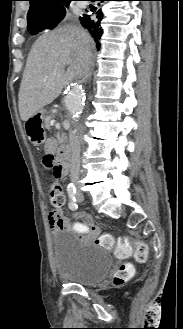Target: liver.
I'll list each match as a JSON object with an SVG mask.
<instances>
[{"mask_svg":"<svg viewBox=\"0 0 183 329\" xmlns=\"http://www.w3.org/2000/svg\"><path fill=\"white\" fill-rule=\"evenodd\" d=\"M94 51L89 33L80 26L68 25L41 35L29 53L19 89V112L29 120L53 102L71 80L82 77L80 53ZM65 66H68L65 73Z\"/></svg>","mask_w":183,"mask_h":329,"instance_id":"obj_1","label":"liver"}]
</instances>
